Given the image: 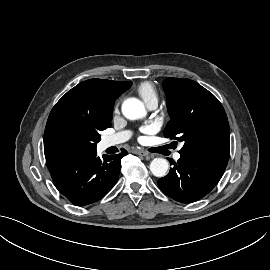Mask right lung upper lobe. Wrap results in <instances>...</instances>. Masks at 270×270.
I'll return each mask as SVG.
<instances>
[{
  "label": "right lung upper lobe",
  "mask_w": 270,
  "mask_h": 270,
  "mask_svg": "<svg viewBox=\"0 0 270 270\" xmlns=\"http://www.w3.org/2000/svg\"><path fill=\"white\" fill-rule=\"evenodd\" d=\"M130 81L89 79L69 90L53 107L44 133L46 160L54 155L48 149V135L52 127L61 120L70 119L110 125L114 101L127 89Z\"/></svg>",
  "instance_id": "cb5924a9"
}]
</instances>
